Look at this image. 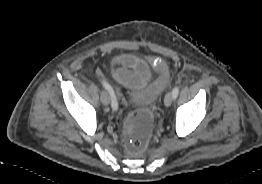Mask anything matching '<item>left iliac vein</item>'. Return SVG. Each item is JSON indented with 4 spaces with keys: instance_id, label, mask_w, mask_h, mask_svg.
I'll return each mask as SVG.
<instances>
[{
    "instance_id": "4c4485c4",
    "label": "left iliac vein",
    "mask_w": 262,
    "mask_h": 184,
    "mask_svg": "<svg viewBox=\"0 0 262 184\" xmlns=\"http://www.w3.org/2000/svg\"><path fill=\"white\" fill-rule=\"evenodd\" d=\"M172 100H173V95H172V92H168L166 95H165V98H164V104L166 107H169L172 103Z\"/></svg>"
}]
</instances>
